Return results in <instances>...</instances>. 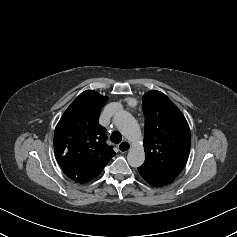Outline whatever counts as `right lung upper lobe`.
I'll list each match as a JSON object with an SVG mask.
<instances>
[{
    "label": "right lung upper lobe",
    "mask_w": 237,
    "mask_h": 237,
    "mask_svg": "<svg viewBox=\"0 0 237 237\" xmlns=\"http://www.w3.org/2000/svg\"><path fill=\"white\" fill-rule=\"evenodd\" d=\"M108 101L93 90L81 93L64 112L54 132V151L63 172L84 183L98 176L115 155L106 145V129L98 123Z\"/></svg>",
    "instance_id": "right-lung-upper-lobe-1"
}]
</instances>
